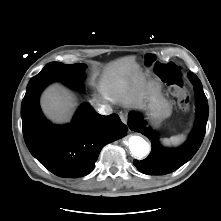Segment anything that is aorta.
<instances>
[{
	"mask_svg": "<svg viewBox=\"0 0 221 221\" xmlns=\"http://www.w3.org/2000/svg\"><path fill=\"white\" fill-rule=\"evenodd\" d=\"M129 149L131 153L136 157H144L149 153L150 146L140 136H131L128 141Z\"/></svg>",
	"mask_w": 221,
	"mask_h": 221,
	"instance_id": "obj_1",
	"label": "aorta"
}]
</instances>
